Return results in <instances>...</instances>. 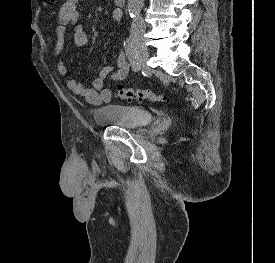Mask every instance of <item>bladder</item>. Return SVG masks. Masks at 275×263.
<instances>
[{
    "instance_id": "bladder-1",
    "label": "bladder",
    "mask_w": 275,
    "mask_h": 263,
    "mask_svg": "<svg viewBox=\"0 0 275 263\" xmlns=\"http://www.w3.org/2000/svg\"><path fill=\"white\" fill-rule=\"evenodd\" d=\"M96 124L135 128L153 121V114L148 109L137 106L104 104L92 111Z\"/></svg>"
}]
</instances>
